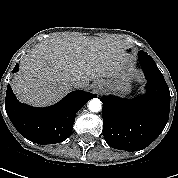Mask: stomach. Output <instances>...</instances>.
<instances>
[{
    "instance_id": "stomach-1",
    "label": "stomach",
    "mask_w": 178,
    "mask_h": 178,
    "mask_svg": "<svg viewBox=\"0 0 178 178\" xmlns=\"http://www.w3.org/2000/svg\"><path fill=\"white\" fill-rule=\"evenodd\" d=\"M124 53L129 56L130 51L126 49ZM102 88L117 94H128L131 91V85L124 74L115 73L107 78L100 80Z\"/></svg>"
}]
</instances>
